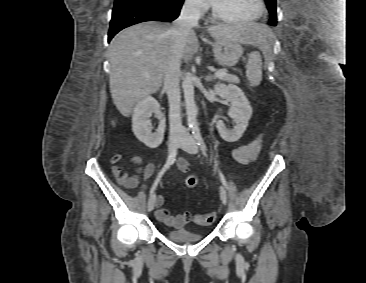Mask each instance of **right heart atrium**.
I'll list each match as a JSON object with an SVG mask.
<instances>
[{
    "mask_svg": "<svg viewBox=\"0 0 366 283\" xmlns=\"http://www.w3.org/2000/svg\"><path fill=\"white\" fill-rule=\"evenodd\" d=\"M185 5L188 10L196 14L203 13L206 8L205 0H185Z\"/></svg>",
    "mask_w": 366,
    "mask_h": 283,
    "instance_id": "1",
    "label": "right heart atrium"
}]
</instances>
